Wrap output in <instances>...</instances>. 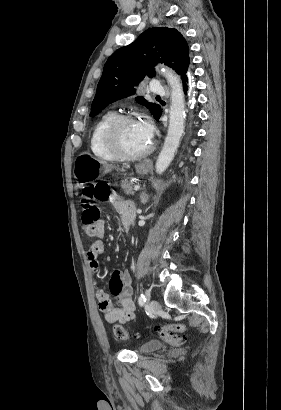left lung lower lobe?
Returning <instances> with one entry per match:
<instances>
[{
    "label": "left lung lower lobe",
    "mask_w": 281,
    "mask_h": 410,
    "mask_svg": "<svg viewBox=\"0 0 281 410\" xmlns=\"http://www.w3.org/2000/svg\"><path fill=\"white\" fill-rule=\"evenodd\" d=\"M182 82H183V88H184V92L187 93V91L189 90V87H191V82H192V74L191 72H188L186 75H184L182 78ZM162 114V111L160 109L159 113L157 114V116L155 117L156 119H159L160 116Z\"/></svg>",
    "instance_id": "0a47b994"
}]
</instances>
